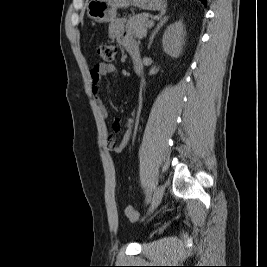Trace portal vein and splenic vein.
<instances>
[{
  "mask_svg": "<svg viewBox=\"0 0 267 267\" xmlns=\"http://www.w3.org/2000/svg\"><path fill=\"white\" fill-rule=\"evenodd\" d=\"M147 26L149 28L152 27V26H154V21L153 20L148 21Z\"/></svg>",
  "mask_w": 267,
  "mask_h": 267,
  "instance_id": "obj_1",
  "label": "portal vein and splenic vein"
}]
</instances>
